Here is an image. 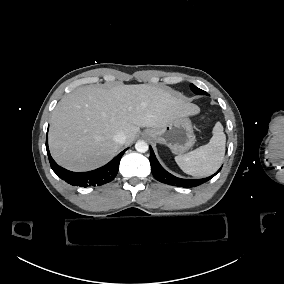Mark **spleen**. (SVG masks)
I'll list each match as a JSON object with an SVG mask.
<instances>
[{"label":"spleen","mask_w":284,"mask_h":284,"mask_svg":"<svg viewBox=\"0 0 284 284\" xmlns=\"http://www.w3.org/2000/svg\"><path fill=\"white\" fill-rule=\"evenodd\" d=\"M213 136L209 143L175 157L181 170L196 178L206 177L216 172L221 166L225 155L226 135L223 126L217 122L213 128Z\"/></svg>","instance_id":"1"}]
</instances>
